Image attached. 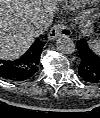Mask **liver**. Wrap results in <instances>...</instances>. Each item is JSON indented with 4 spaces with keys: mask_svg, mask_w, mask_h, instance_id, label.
<instances>
[{
    "mask_svg": "<svg viewBox=\"0 0 100 118\" xmlns=\"http://www.w3.org/2000/svg\"><path fill=\"white\" fill-rule=\"evenodd\" d=\"M60 0H0V57L13 60L23 55L38 34L34 23L52 17Z\"/></svg>",
    "mask_w": 100,
    "mask_h": 118,
    "instance_id": "6515ba94",
    "label": "liver"
}]
</instances>
